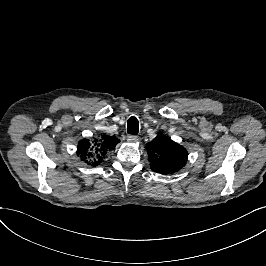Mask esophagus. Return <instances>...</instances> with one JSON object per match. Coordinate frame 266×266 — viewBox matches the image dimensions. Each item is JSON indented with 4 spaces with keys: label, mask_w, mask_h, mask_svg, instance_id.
<instances>
[{
    "label": "esophagus",
    "mask_w": 266,
    "mask_h": 266,
    "mask_svg": "<svg viewBox=\"0 0 266 266\" xmlns=\"http://www.w3.org/2000/svg\"><path fill=\"white\" fill-rule=\"evenodd\" d=\"M127 141L131 143H135L138 141V136L136 135H128L127 136Z\"/></svg>",
    "instance_id": "esophagus-1"
}]
</instances>
